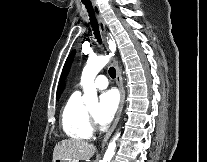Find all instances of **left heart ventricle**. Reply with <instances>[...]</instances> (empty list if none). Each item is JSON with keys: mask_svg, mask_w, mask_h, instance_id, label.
Returning a JSON list of instances; mask_svg holds the SVG:
<instances>
[{"mask_svg": "<svg viewBox=\"0 0 207 162\" xmlns=\"http://www.w3.org/2000/svg\"><path fill=\"white\" fill-rule=\"evenodd\" d=\"M96 111H97V108H96V107L90 109V112H91L93 115L96 114Z\"/></svg>", "mask_w": 207, "mask_h": 162, "instance_id": "left-heart-ventricle-1", "label": "left heart ventricle"}]
</instances>
